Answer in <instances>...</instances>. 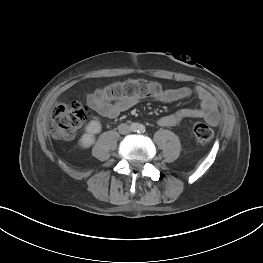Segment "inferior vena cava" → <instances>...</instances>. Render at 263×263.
Masks as SVG:
<instances>
[{"label":"inferior vena cava","instance_id":"602c4592","mask_svg":"<svg viewBox=\"0 0 263 263\" xmlns=\"http://www.w3.org/2000/svg\"><path fill=\"white\" fill-rule=\"evenodd\" d=\"M118 131L120 134H128L131 132V128L128 124L122 123L118 126Z\"/></svg>","mask_w":263,"mask_h":263}]
</instances>
